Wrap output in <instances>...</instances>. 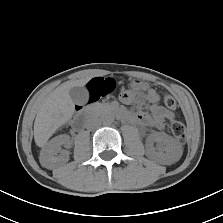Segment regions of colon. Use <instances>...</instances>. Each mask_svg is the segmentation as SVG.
<instances>
[{"instance_id":"colon-1","label":"colon","mask_w":223,"mask_h":223,"mask_svg":"<svg viewBox=\"0 0 223 223\" xmlns=\"http://www.w3.org/2000/svg\"><path fill=\"white\" fill-rule=\"evenodd\" d=\"M115 83L113 80L106 79L104 81L93 80L89 84V100L97 101L100 97L106 96L113 92ZM164 104L169 109L176 107V101L173 97L166 95L163 98ZM172 134L181 142L186 141V129L185 126L177 120H171L168 124Z\"/></svg>"}]
</instances>
